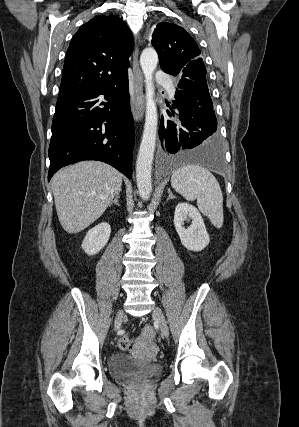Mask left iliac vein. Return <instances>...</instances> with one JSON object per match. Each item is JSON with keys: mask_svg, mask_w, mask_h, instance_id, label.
Listing matches in <instances>:
<instances>
[{"mask_svg": "<svg viewBox=\"0 0 299 427\" xmlns=\"http://www.w3.org/2000/svg\"><path fill=\"white\" fill-rule=\"evenodd\" d=\"M153 315L159 323L162 335L167 338L169 336V328L162 310L158 307H154Z\"/></svg>", "mask_w": 299, "mask_h": 427, "instance_id": "left-iliac-vein-1", "label": "left iliac vein"}]
</instances>
